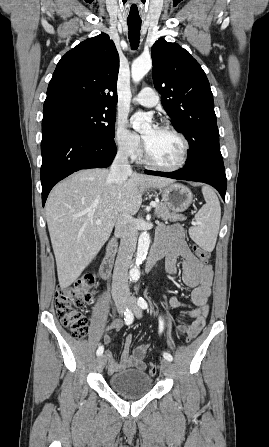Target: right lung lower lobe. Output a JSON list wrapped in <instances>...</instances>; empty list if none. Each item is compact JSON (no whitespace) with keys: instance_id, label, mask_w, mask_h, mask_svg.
<instances>
[{"instance_id":"right-lung-lower-lobe-1","label":"right lung lower lobe","mask_w":269,"mask_h":447,"mask_svg":"<svg viewBox=\"0 0 269 447\" xmlns=\"http://www.w3.org/2000/svg\"><path fill=\"white\" fill-rule=\"evenodd\" d=\"M42 205L53 186L80 169L104 168L116 155L112 139L92 135L65 116L45 115L42 121Z\"/></svg>"}]
</instances>
